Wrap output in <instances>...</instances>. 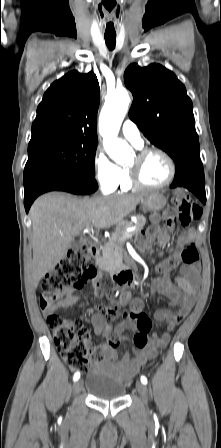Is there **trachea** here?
I'll list each match as a JSON object with an SVG mask.
<instances>
[{"label":"trachea","instance_id":"1","mask_svg":"<svg viewBox=\"0 0 221 448\" xmlns=\"http://www.w3.org/2000/svg\"><path fill=\"white\" fill-rule=\"evenodd\" d=\"M106 45L110 50L115 48L116 36L105 35Z\"/></svg>","mask_w":221,"mask_h":448}]
</instances>
